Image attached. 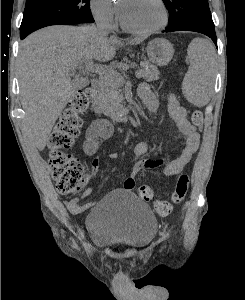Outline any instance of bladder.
<instances>
[{"instance_id": "31cf9c89", "label": "bladder", "mask_w": 245, "mask_h": 300, "mask_svg": "<svg viewBox=\"0 0 245 300\" xmlns=\"http://www.w3.org/2000/svg\"><path fill=\"white\" fill-rule=\"evenodd\" d=\"M151 208L134 193L114 190L102 197L86 217L91 241L102 247L140 248L157 232Z\"/></svg>"}]
</instances>
